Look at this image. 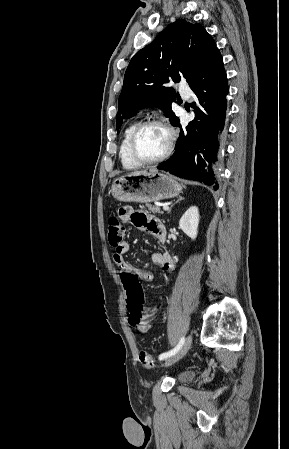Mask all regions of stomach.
<instances>
[{
    "label": "stomach",
    "instance_id": "1",
    "mask_svg": "<svg viewBox=\"0 0 289 449\" xmlns=\"http://www.w3.org/2000/svg\"><path fill=\"white\" fill-rule=\"evenodd\" d=\"M181 191L182 187L172 176L155 170L117 177L110 190L116 200L137 203L173 198Z\"/></svg>",
    "mask_w": 289,
    "mask_h": 449
}]
</instances>
